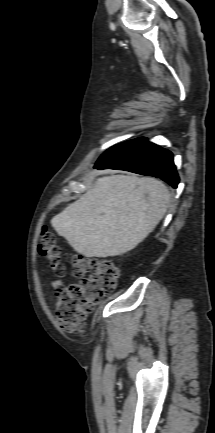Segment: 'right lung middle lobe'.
Returning a JSON list of instances; mask_svg holds the SVG:
<instances>
[{
	"mask_svg": "<svg viewBox=\"0 0 215 433\" xmlns=\"http://www.w3.org/2000/svg\"><path fill=\"white\" fill-rule=\"evenodd\" d=\"M133 141L134 140H129V141H126L124 143L117 144V145L111 147L110 149H108L107 151H105L100 156V158L98 159V161L96 162V164L103 163V162L107 161L108 159H110L111 157H113L115 154H117L118 152H120L121 150H123L124 148H126Z\"/></svg>",
	"mask_w": 215,
	"mask_h": 433,
	"instance_id": "1",
	"label": "right lung middle lobe"
}]
</instances>
